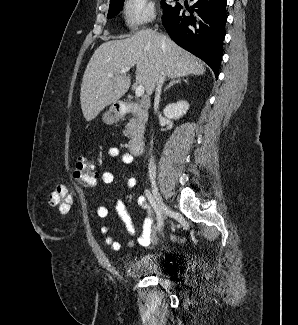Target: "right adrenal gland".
<instances>
[{
    "instance_id": "obj_1",
    "label": "right adrenal gland",
    "mask_w": 298,
    "mask_h": 325,
    "mask_svg": "<svg viewBox=\"0 0 298 325\" xmlns=\"http://www.w3.org/2000/svg\"><path fill=\"white\" fill-rule=\"evenodd\" d=\"M183 80H185V78H183ZM176 82H181V78H174V80H170L169 84L165 86L164 90H168V88H170V86H174Z\"/></svg>"
}]
</instances>
